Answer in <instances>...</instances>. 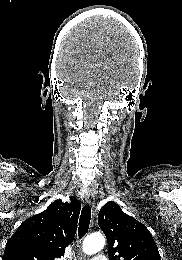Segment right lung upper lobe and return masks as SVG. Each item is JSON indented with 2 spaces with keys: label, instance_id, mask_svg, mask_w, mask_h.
Masks as SVG:
<instances>
[{
  "label": "right lung upper lobe",
  "instance_id": "right-lung-upper-lobe-1",
  "mask_svg": "<svg viewBox=\"0 0 182 260\" xmlns=\"http://www.w3.org/2000/svg\"><path fill=\"white\" fill-rule=\"evenodd\" d=\"M81 203L54 201L25 220L7 241L2 260H56L75 236Z\"/></svg>",
  "mask_w": 182,
  "mask_h": 260
}]
</instances>
